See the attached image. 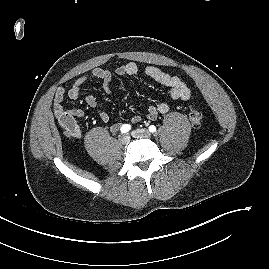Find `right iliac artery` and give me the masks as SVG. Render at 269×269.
<instances>
[{
  "label": "right iliac artery",
  "mask_w": 269,
  "mask_h": 269,
  "mask_svg": "<svg viewBox=\"0 0 269 269\" xmlns=\"http://www.w3.org/2000/svg\"><path fill=\"white\" fill-rule=\"evenodd\" d=\"M130 129H131V125H129V124H124V125H122L120 131H121L122 133H127Z\"/></svg>",
  "instance_id": "right-iliac-artery-1"
}]
</instances>
